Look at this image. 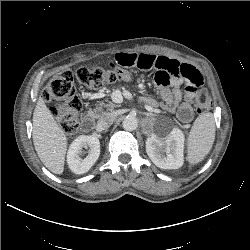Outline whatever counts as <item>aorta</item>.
Here are the masks:
<instances>
[{"label":"aorta","instance_id":"762f6f07","mask_svg":"<svg viewBox=\"0 0 250 250\" xmlns=\"http://www.w3.org/2000/svg\"><path fill=\"white\" fill-rule=\"evenodd\" d=\"M122 127L126 131H134L138 127L137 118L134 116H127L122 122Z\"/></svg>","mask_w":250,"mask_h":250}]
</instances>
